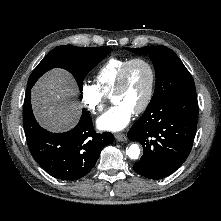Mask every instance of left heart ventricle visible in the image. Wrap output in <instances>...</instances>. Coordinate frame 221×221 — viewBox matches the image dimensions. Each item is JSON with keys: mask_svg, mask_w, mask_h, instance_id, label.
Here are the masks:
<instances>
[{"mask_svg": "<svg viewBox=\"0 0 221 221\" xmlns=\"http://www.w3.org/2000/svg\"><path fill=\"white\" fill-rule=\"evenodd\" d=\"M149 82L150 75L146 66L133 64L128 71L124 89L112 98V102L123 104L134 112L144 101Z\"/></svg>", "mask_w": 221, "mask_h": 221, "instance_id": "obj_1", "label": "left heart ventricle"}]
</instances>
